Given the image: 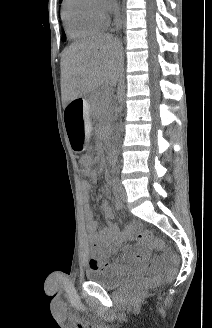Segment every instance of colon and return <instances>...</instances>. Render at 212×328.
Listing matches in <instances>:
<instances>
[{
  "instance_id": "obj_1",
  "label": "colon",
  "mask_w": 212,
  "mask_h": 328,
  "mask_svg": "<svg viewBox=\"0 0 212 328\" xmlns=\"http://www.w3.org/2000/svg\"><path fill=\"white\" fill-rule=\"evenodd\" d=\"M79 168L80 170H82V173H93V166L91 165V156L89 153L81 154ZM136 237L139 241L144 242L148 247H154L165 252L168 256V262L171 267V270H174L175 267L178 265V256L173 253H170L167 250L161 238L154 236L149 230L138 231Z\"/></svg>"
}]
</instances>
